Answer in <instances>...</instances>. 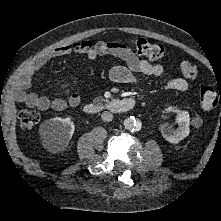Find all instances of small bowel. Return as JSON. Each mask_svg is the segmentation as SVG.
<instances>
[{
    "label": "small bowel",
    "instance_id": "small-bowel-1",
    "mask_svg": "<svg viewBox=\"0 0 221 221\" xmlns=\"http://www.w3.org/2000/svg\"><path fill=\"white\" fill-rule=\"evenodd\" d=\"M73 54L84 56L90 60L98 56L109 55L122 59L126 65L114 66L109 72L110 79L115 83H135L138 74L153 77H162L164 75V69L161 65L153 64L145 59L139 58L128 47L120 43L107 42L104 40L95 42L84 41L75 46L63 45L46 51L28 64L17 78L16 98L25 103L28 107L36 108L41 111L48 109L62 111L67 107H77L81 102L80 95L77 93H72L67 99L63 97L51 99L46 96L38 95L35 92L27 91L33 77L44 65L53 59L68 57ZM167 86L169 89L178 92H185L189 88L188 82L180 77L170 79ZM62 87L67 88L68 85L63 84Z\"/></svg>",
    "mask_w": 221,
    "mask_h": 221
}]
</instances>
